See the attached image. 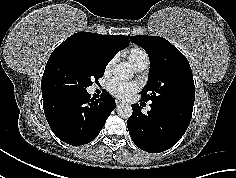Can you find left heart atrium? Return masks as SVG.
Returning a JSON list of instances; mask_svg holds the SVG:
<instances>
[{
  "mask_svg": "<svg viewBox=\"0 0 236 178\" xmlns=\"http://www.w3.org/2000/svg\"><path fill=\"white\" fill-rule=\"evenodd\" d=\"M138 89L135 82L120 81L113 79L107 85L108 92L119 99H127L133 92Z\"/></svg>",
  "mask_w": 236,
  "mask_h": 178,
  "instance_id": "39dd6f15",
  "label": "left heart atrium"
}]
</instances>
